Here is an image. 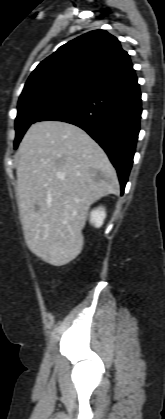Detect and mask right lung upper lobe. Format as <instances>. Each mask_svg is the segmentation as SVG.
<instances>
[{
	"instance_id": "cb5924a9",
	"label": "right lung upper lobe",
	"mask_w": 165,
	"mask_h": 419,
	"mask_svg": "<svg viewBox=\"0 0 165 419\" xmlns=\"http://www.w3.org/2000/svg\"><path fill=\"white\" fill-rule=\"evenodd\" d=\"M133 70L119 40L105 30H94L61 46L38 64L21 95L53 86L92 92Z\"/></svg>"
}]
</instances>
